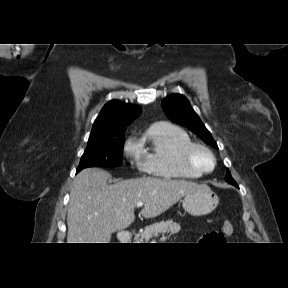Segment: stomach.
<instances>
[{
    "instance_id": "obj_1",
    "label": "stomach",
    "mask_w": 288,
    "mask_h": 288,
    "mask_svg": "<svg viewBox=\"0 0 288 288\" xmlns=\"http://www.w3.org/2000/svg\"><path fill=\"white\" fill-rule=\"evenodd\" d=\"M218 203V196L207 185H199L194 191L187 193L182 201L185 211L193 216L211 213Z\"/></svg>"
}]
</instances>
